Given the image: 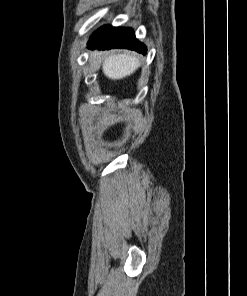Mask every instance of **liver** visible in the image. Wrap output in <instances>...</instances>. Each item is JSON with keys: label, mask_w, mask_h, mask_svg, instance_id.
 Listing matches in <instances>:
<instances>
[{"label": "liver", "mask_w": 247, "mask_h": 296, "mask_svg": "<svg viewBox=\"0 0 247 296\" xmlns=\"http://www.w3.org/2000/svg\"><path fill=\"white\" fill-rule=\"evenodd\" d=\"M140 64L139 59L133 55L126 53L111 54L105 58L102 70L109 79L119 80L133 74Z\"/></svg>", "instance_id": "6515ba94"}]
</instances>
